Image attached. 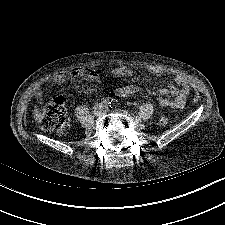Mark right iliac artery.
<instances>
[{"label":"right iliac artery","mask_w":225,"mask_h":225,"mask_svg":"<svg viewBox=\"0 0 225 225\" xmlns=\"http://www.w3.org/2000/svg\"><path fill=\"white\" fill-rule=\"evenodd\" d=\"M112 101H113L112 98H110V97H105V98L102 99V104H103L104 106H109V105L111 106Z\"/></svg>","instance_id":"obj_1"}]
</instances>
